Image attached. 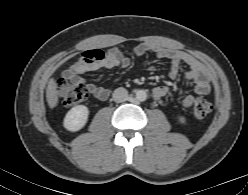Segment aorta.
Segmentation results:
<instances>
[{
    "mask_svg": "<svg viewBox=\"0 0 248 195\" xmlns=\"http://www.w3.org/2000/svg\"><path fill=\"white\" fill-rule=\"evenodd\" d=\"M147 98V93L144 90H137L136 91V99L138 101H145Z\"/></svg>",
    "mask_w": 248,
    "mask_h": 195,
    "instance_id": "obj_1",
    "label": "aorta"
}]
</instances>
